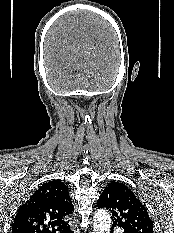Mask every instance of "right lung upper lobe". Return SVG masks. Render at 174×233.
Here are the masks:
<instances>
[{
    "mask_svg": "<svg viewBox=\"0 0 174 233\" xmlns=\"http://www.w3.org/2000/svg\"><path fill=\"white\" fill-rule=\"evenodd\" d=\"M73 210L65 184L59 180L48 181L19 208L12 233L69 232L70 226L63 218L72 214Z\"/></svg>",
    "mask_w": 174,
    "mask_h": 233,
    "instance_id": "cb5924a9",
    "label": "right lung upper lobe"
}]
</instances>
